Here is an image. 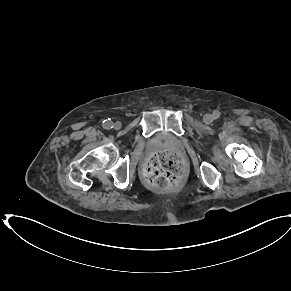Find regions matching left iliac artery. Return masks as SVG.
<instances>
[{"label": "left iliac artery", "instance_id": "44dca946", "mask_svg": "<svg viewBox=\"0 0 291 291\" xmlns=\"http://www.w3.org/2000/svg\"><path fill=\"white\" fill-rule=\"evenodd\" d=\"M219 116H220V112H219V111H214V112H213V117H214V119H218Z\"/></svg>", "mask_w": 291, "mask_h": 291}]
</instances>
